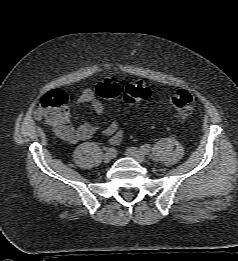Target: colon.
<instances>
[{
	"label": "colon",
	"instance_id": "1",
	"mask_svg": "<svg viewBox=\"0 0 238 261\" xmlns=\"http://www.w3.org/2000/svg\"><path fill=\"white\" fill-rule=\"evenodd\" d=\"M96 93L102 99L116 98L121 94V86L115 80H107L97 86ZM150 96L151 89L145 82L134 81L125 87L123 99L128 106H136L147 101ZM68 102L64 91H49L40 99L38 114L45 117L50 125L59 124L69 116ZM171 103L181 117H187L193 111L194 95L189 90H176Z\"/></svg>",
	"mask_w": 238,
	"mask_h": 261
}]
</instances>
